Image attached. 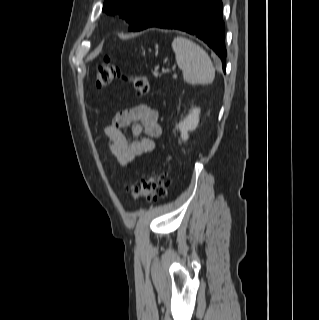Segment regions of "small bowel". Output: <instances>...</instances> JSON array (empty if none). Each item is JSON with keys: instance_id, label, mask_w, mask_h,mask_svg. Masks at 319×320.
Returning <instances> with one entry per match:
<instances>
[{"instance_id": "small-bowel-1", "label": "small bowel", "mask_w": 319, "mask_h": 320, "mask_svg": "<svg viewBox=\"0 0 319 320\" xmlns=\"http://www.w3.org/2000/svg\"><path fill=\"white\" fill-rule=\"evenodd\" d=\"M131 128L134 139L123 132ZM109 149L119 165L125 166L137 156L151 152L154 140L161 135L158 112L140 104L115 114L112 123L104 129Z\"/></svg>"}]
</instances>
